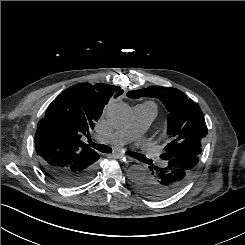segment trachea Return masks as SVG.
Listing matches in <instances>:
<instances>
[{
	"label": "trachea",
	"instance_id": "3493384b",
	"mask_svg": "<svg viewBox=\"0 0 245 245\" xmlns=\"http://www.w3.org/2000/svg\"><path fill=\"white\" fill-rule=\"evenodd\" d=\"M90 146L95 148L96 150L102 152V153H111L112 152V149L107 146V145H99V144H96V143H93L91 140L88 141Z\"/></svg>",
	"mask_w": 245,
	"mask_h": 245
}]
</instances>
